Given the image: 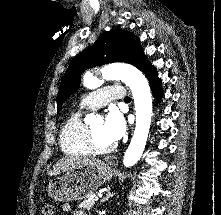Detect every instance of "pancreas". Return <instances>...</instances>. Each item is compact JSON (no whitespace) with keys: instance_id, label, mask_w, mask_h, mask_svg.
I'll use <instances>...</instances> for the list:
<instances>
[{"instance_id":"pancreas-1","label":"pancreas","mask_w":221,"mask_h":215,"mask_svg":"<svg viewBox=\"0 0 221 215\" xmlns=\"http://www.w3.org/2000/svg\"><path fill=\"white\" fill-rule=\"evenodd\" d=\"M95 195H91L90 197H88V199H86L85 201L81 202L78 205V208H85L87 210H89L95 203V200L93 199Z\"/></svg>"}]
</instances>
